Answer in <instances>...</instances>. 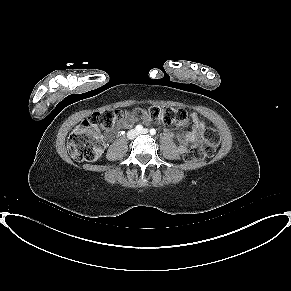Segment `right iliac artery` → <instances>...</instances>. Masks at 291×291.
<instances>
[{"label": "right iliac artery", "mask_w": 291, "mask_h": 291, "mask_svg": "<svg viewBox=\"0 0 291 291\" xmlns=\"http://www.w3.org/2000/svg\"><path fill=\"white\" fill-rule=\"evenodd\" d=\"M142 129H143V126L142 125H137L136 126V130L141 131Z\"/></svg>", "instance_id": "obj_1"}]
</instances>
